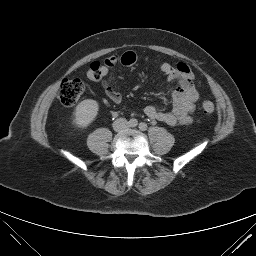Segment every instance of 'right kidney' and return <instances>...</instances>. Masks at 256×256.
<instances>
[{
    "mask_svg": "<svg viewBox=\"0 0 256 256\" xmlns=\"http://www.w3.org/2000/svg\"><path fill=\"white\" fill-rule=\"evenodd\" d=\"M99 110L98 102L92 99L81 101L75 108L73 123L78 128L88 127L96 118Z\"/></svg>",
    "mask_w": 256,
    "mask_h": 256,
    "instance_id": "right-kidney-1",
    "label": "right kidney"
}]
</instances>
